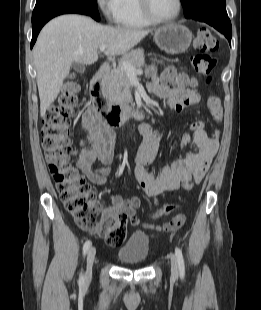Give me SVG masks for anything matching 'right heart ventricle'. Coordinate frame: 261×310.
Listing matches in <instances>:
<instances>
[{"mask_svg": "<svg viewBox=\"0 0 261 310\" xmlns=\"http://www.w3.org/2000/svg\"><path fill=\"white\" fill-rule=\"evenodd\" d=\"M116 23L129 29H143L153 25L142 14L138 0H119Z\"/></svg>", "mask_w": 261, "mask_h": 310, "instance_id": "right-heart-ventricle-1", "label": "right heart ventricle"}]
</instances>
